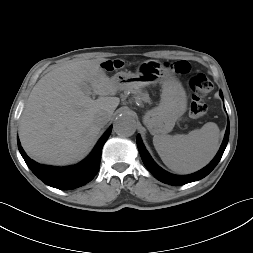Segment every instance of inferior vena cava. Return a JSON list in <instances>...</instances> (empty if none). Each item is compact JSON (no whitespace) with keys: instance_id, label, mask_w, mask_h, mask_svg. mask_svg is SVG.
Wrapping results in <instances>:
<instances>
[{"instance_id":"inferior-vena-cava-1","label":"inferior vena cava","mask_w":253,"mask_h":253,"mask_svg":"<svg viewBox=\"0 0 253 253\" xmlns=\"http://www.w3.org/2000/svg\"><path fill=\"white\" fill-rule=\"evenodd\" d=\"M109 121V116L106 113H101L96 116L95 123L103 127Z\"/></svg>"}]
</instances>
